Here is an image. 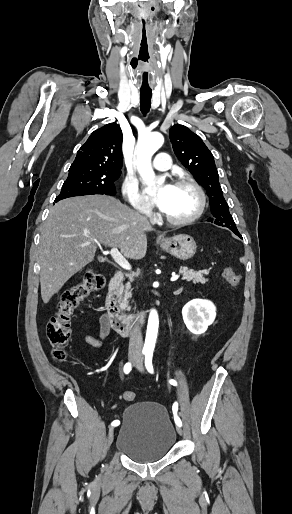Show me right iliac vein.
<instances>
[{
  "label": "right iliac vein",
  "instance_id": "right-iliac-vein-1",
  "mask_svg": "<svg viewBox=\"0 0 292 514\" xmlns=\"http://www.w3.org/2000/svg\"><path fill=\"white\" fill-rule=\"evenodd\" d=\"M130 361L135 364L137 362V358L135 356H131ZM113 438H114V428L111 427L108 431V436H107V446L108 447L112 444Z\"/></svg>",
  "mask_w": 292,
  "mask_h": 514
}]
</instances>
